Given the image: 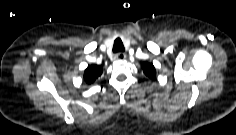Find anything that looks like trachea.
Returning <instances> with one entry per match:
<instances>
[{
  "mask_svg": "<svg viewBox=\"0 0 236 135\" xmlns=\"http://www.w3.org/2000/svg\"><path fill=\"white\" fill-rule=\"evenodd\" d=\"M124 50L125 48H124L122 40L120 38H116L113 45V52L114 53L124 52Z\"/></svg>",
  "mask_w": 236,
  "mask_h": 135,
  "instance_id": "trachea-1",
  "label": "trachea"
}]
</instances>
